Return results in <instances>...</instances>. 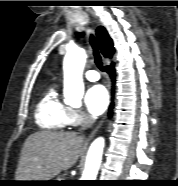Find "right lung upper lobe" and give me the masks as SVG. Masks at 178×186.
I'll return each mask as SVG.
<instances>
[{"label": "right lung upper lobe", "mask_w": 178, "mask_h": 186, "mask_svg": "<svg viewBox=\"0 0 178 186\" xmlns=\"http://www.w3.org/2000/svg\"><path fill=\"white\" fill-rule=\"evenodd\" d=\"M96 42L102 55L106 58H112L115 52L113 41L109 37L106 29L102 26H99L96 30ZM112 65H114V63H112Z\"/></svg>", "instance_id": "right-lung-upper-lobe-1"}]
</instances>
